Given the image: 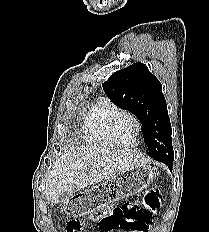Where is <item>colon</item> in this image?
I'll return each mask as SVG.
<instances>
[{
	"label": "colon",
	"mask_w": 209,
	"mask_h": 232,
	"mask_svg": "<svg viewBox=\"0 0 209 232\" xmlns=\"http://www.w3.org/2000/svg\"><path fill=\"white\" fill-rule=\"evenodd\" d=\"M160 205L159 191L155 188L149 189L143 198L144 209L135 203H124L121 206L112 207L106 211L94 212L89 215L95 220L101 229H136L144 226H152L150 214H155ZM71 215V214H70ZM81 228V223L71 220L67 223V231L73 232Z\"/></svg>",
	"instance_id": "5ec220e1"
}]
</instances>
